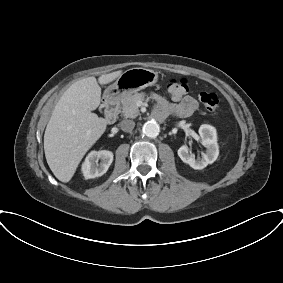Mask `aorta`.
I'll list each match as a JSON object with an SVG mask.
<instances>
[{"label":"aorta","mask_w":283,"mask_h":283,"mask_svg":"<svg viewBox=\"0 0 283 283\" xmlns=\"http://www.w3.org/2000/svg\"><path fill=\"white\" fill-rule=\"evenodd\" d=\"M142 132L149 138H156L160 132L159 124L156 121H147L142 127Z\"/></svg>","instance_id":"1"}]
</instances>
